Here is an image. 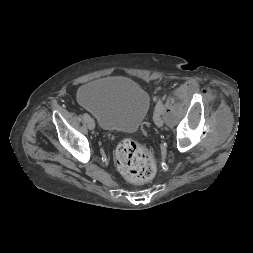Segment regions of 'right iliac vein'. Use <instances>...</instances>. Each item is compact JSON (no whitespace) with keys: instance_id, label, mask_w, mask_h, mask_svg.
<instances>
[{"instance_id":"right-iliac-vein-1","label":"right iliac vein","mask_w":253,"mask_h":253,"mask_svg":"<svg viewBox=\"0 0 253 253\" xmlns=\"http://www.w3.org/2000/svg\"><path fill=\"white\" fill-rule=\"evenodd\" d=\"M86 122L90 130H93L95 128V122L92 118H88Z\"/></svg>"}]
</instances>
